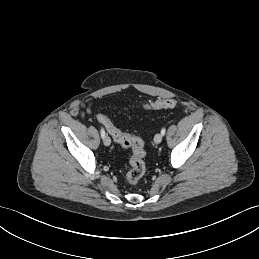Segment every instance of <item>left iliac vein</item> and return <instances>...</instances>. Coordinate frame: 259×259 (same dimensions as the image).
Segmentation results:
<instances>
[{"instance_id":"1","label":"left iliac vein","mask_w":259,"mask_h":259,"mask_svg":"<svg viewBox=\"0 0 259 259\" xmlns=\"http://www.w3.org/2000/svg\"><path fill=\"white\" fill-rule=\"evenodd\" d=\"M162 138H163V135H162L161 133H158V134H156L155 137H154V142H155L156 144H159V143H161Z\"/></svg>"}]
</instances>
